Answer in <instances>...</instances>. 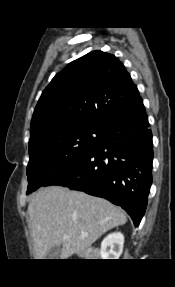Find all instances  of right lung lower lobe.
Returning <instances> with one entry per match:
<instances>
[{"label":"right lung lower lobe","instance_id":"1","mask_svg":"<svg viewBox=\"0 0 175 287\" xmlns=\"http://www.w3.org/2000/svg\"><path fill=\"white\" fill-rule=\"evenodd\" d=\"M152 133L144 105L109 121L98 144L44 186L62 185L122 207L138 226L152 184Z\"/></svg>","mask_w":175,"mask_h":287}]
</instances>
